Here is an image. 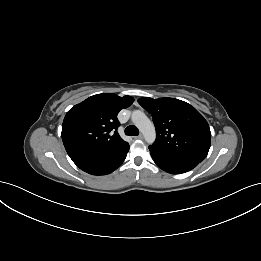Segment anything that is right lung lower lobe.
<instances>
[{
	"label": "right lung lower lobe",
	"instance_id": "98d812e1",
	"mask_svg": "<svg viewBox=\"0 0 261 261\" xmlns=\"http://www.w3.org/2000/svg\"><path fill=\"white\" fill-rule=\"evenodd\" d=\"M128 151L129 145L116 151H88L70 157L81 170L91 175H106L123 163Z\"/></svg>",
	"mask_w": 261,
	"mask_h": 261
}]
</instances>
